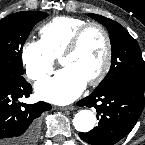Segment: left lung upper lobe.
<instances>
[{"label":"left lung upper lobe","mask_w":145,"mask_h":145,"mask_svg":"<svg viewBox=\"0 0 145 145\" xmlns=\"http://www.w3.org/2000/svg\"><path fill=\"white\" fill-rule=\"evenodd\" d=\"M88 16L107 28L112 48L110 71L94 91H101L122 81L145 85V68L136 40L119 23L97 14Z\"/></svg>","instance_id":"1"}]
</instances>
